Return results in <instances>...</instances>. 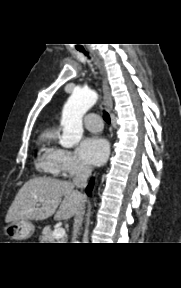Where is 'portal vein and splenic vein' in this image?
Masks as SVG:
<instances>
[{
	"label": "portal vein and splenic vein",
	"mask_w": 181,
	"mask_h": 288,
	"mask_svg": "<svg viewBox=\"0 0 181 288\" xmlns=\"http://www.w3.org/2000/svg\"><path fill=\"white\" fill-rule=\"evenodd\" d=\"M39 205V204H38ZM53 237L56 238V239H59V238H62L65 236V229L60 227V228H57L53 231Z\"/></svg>",
	"instance_id": "18ae733b"
}]
</instances>
